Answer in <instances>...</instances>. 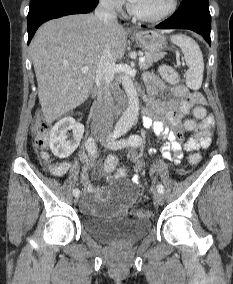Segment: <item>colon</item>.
I'll return each instance as SVG.
<instances>
[{
	"mask_svg": "<svg viewBox=\"0 0 233 284\" xmlns=\"http://www.w3.org/2000/svg\"><path fill=\"white\" fill-rule=\"evenodd\" d=\"M160 75L170 84H177L179 82V75L177 71L169 65H162L159 68ZM206 116V110L202 106L194 108V118L188 119L185 122V128L188 131H194L197 127V120L203 119ZM50 124L42 117H39L34 126V145L45 157L48 146V134L50 131ZM201 157L194 153L189 157L192 164H197ZM104 169L108 174L114 175L115 178L123 179L127 175L125 167L121 166L119 160L115 156H110L106 159ZM138 215H148L150 213L147 209H139L136 211Z\"/></svg>",
	"mask_w": 233,
	"mask_h": 284,
	"instance_id": "colon-1",
	"label": "colon"
}]
</instances>
